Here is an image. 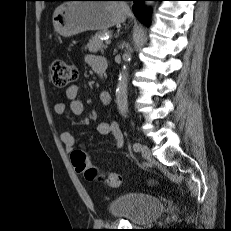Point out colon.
<instances>
[{
  "label": "colon",
  "mask_w": 231,
  "mask_h": 231,
  "mask_svg": "<svg viewBox=\"0 0 231 231\" xmlns=\"http://www.w3.org/2000/svg\"><path fill=\"white\" fill-rule=\"evenodd\" d=\"M51 72L54 85L61 89L68 88L78 78L77 68L64 61H54L51 65ZM71 160L75 169L83 173L87 180H99L114 188L122 184L121 175L100 171L90 164L88 154L81 149L72 152Z\"/></svg>",
  "instance_id": "colon-1"
}]
</instances>
